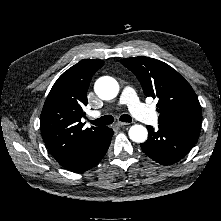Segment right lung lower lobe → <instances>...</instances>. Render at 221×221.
Returning <instances> with one entry per match:
<instances>
[{"mask_svg":"<svg viewBox=\"0 0 221 221\" xmlns=\"http://www.w3.org/2000/svg\"><path fill=\"white\" fill-rule=\"evenodd\" d=\"M113 136V130L104 127L88 144L59 161L72 172H84L95 166L106 154Z\"/></svg>","mask_w":221,"mask_h":221,"instance_id":"obj_1","label":"right lung lower lobe"}]
</instances>
